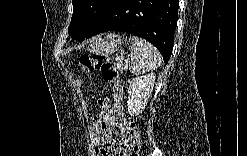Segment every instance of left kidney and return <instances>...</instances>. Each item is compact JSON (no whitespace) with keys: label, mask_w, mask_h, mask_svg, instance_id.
Returning <instances> with one entry per match:
<instances>
[{"label":"left kidney","mask_w":247,"mask_h":156,"mask_svg":"<svg viewBox=\"0 0 247 156\" xmlns=\"http://www.w3.org/2000/svg\"><path fill=\"white\" fill-rule=\"evenodd\" d=\"M155 74L135 77L129 81L127 109L130 116L142 113L153 91Z\"/></svg>","instance_id":"left-kidney-1"}]
</instances>
